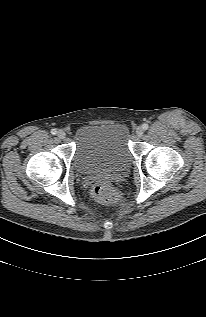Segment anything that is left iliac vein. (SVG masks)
<instances>
[{
  "label": "left iliac vein",
  "instance_id": "left-iliac-vein-1",
  "mask_svg": "<svg viewBox=\"0 0 206 317\" xmlns=\"http://www.w3.org/2000/svg\"><path fill=\"white\" fill-rule=\"evenodd\" d=\"M143 133H144V129H143L142 127H138V128L136 129V135H137L138 137H141V136L143 135Z\"/></svg>",
  "mask_w": 206,
  "mask_h": 317
}]
</instances>
